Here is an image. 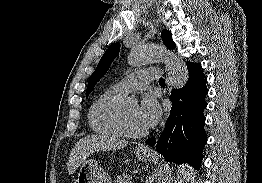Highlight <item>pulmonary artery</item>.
Instances as JSON below:
<instances>
[{
    "mask_svg": "<svg viewBox=\"0 0 262 183\" xmlns=\"http://www.w3.org/2000/svg\"><path fill=\"white\" fill-rule=\"evenodd\" d=\"M159 73V70L154 68L138 70L123 78L112 88L125 95L132 90L145 88L158 77Z\"/></svg>",
    "mask_w": 262,
    "mask_h": 183,
    "instance_id": "pulmonary-artery-1",
    "label": "pulmonary artery"
}]
</instances>
